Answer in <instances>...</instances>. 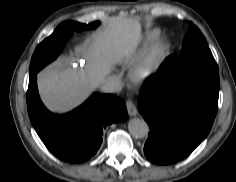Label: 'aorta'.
I'll return each instance as SVG.
<instances>
[{
  "label": "aorta",
  "instance_id": "aorta-1",
  "mask_svg": "<svg viewBox=\"0 0 236 182\" xmlns=\"http://www.w3.org/2000/svg\"><path fill=\"white\" fill-rule=\"evenodd\" d=\"M128 130L134 138H144L149 132L148 124L139 118H132L128 122Z\"/></svg>",
  "mask_w": 236,
  "mask_h": 182
}]
</instances>
